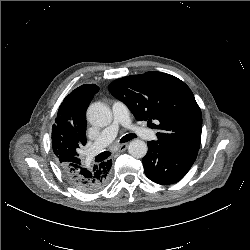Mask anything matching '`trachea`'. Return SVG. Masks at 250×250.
Wrapping results in <instances>:
<instances>
[{
    "label": "trachea",
    "mask_w": 250,
    "mask_h": 250,
    "mask_svg": "<svg viewBox=\"0 0 250 250\" xmlns=\"http://www.w3.org/2000/svg\"><path fill=\"white\" fill-rule=\"evenodd\" d=\"M137 136L135 134H127L125 135L124 137L121 138L120 142L121 143H125V142H128L134 138H136ZM111 155V153L109 151H105L103 153H101L98 157L101 159V160H105L106 158H108L109 156Z\"/></svg>",
    "instance_id": "3493384b"
}]
</instances>
